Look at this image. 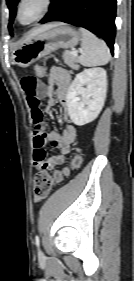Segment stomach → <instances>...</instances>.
I'll return each instance as SVG.
<instances>
[{
	"label": "stomach",
	"mask_w": 134,
	"mask_h": 281,
	"mask_svg": "<svg viewBox=\"0 0 134 281\" xmlns=\"http://www.w3.org/2000/svg\"><path fill=\"white\" fill-rule=\"evenodd\" d=\"M80 37V33L72 27L54 24L53 27L23 42L14 49L12 52L13 63L22 68L29 67L41 57L59 48L75 47Z\"/></svg>",
	"instance_id": "obj_1"
}]
</instances>
